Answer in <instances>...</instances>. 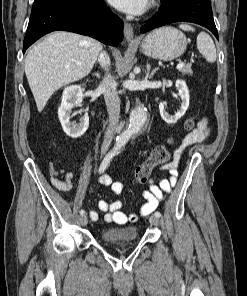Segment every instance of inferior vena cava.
<instances>
[{
	"label": "inferior vena cava",
	"mask_w": 247,
	"mask_h": 296,
	"mask_svg": "<svg viewBox=\"0 0 247 296\" xmlns=\"http://www.w3.org/2000/svg\"><path fill=\"white\" fill-rule=\"evenodd\" d=\"M98 61L105 70H109L110 58L105 51L100 53ZM100 87L103 90L104 99L109 114V125L105 132L102 145V150L106 151L112 142L114 130L119 122L120 99L116 89L117 84L110 74H107L104 77L100 83Z\"/></svg>",
	"instance_id": "602c4592"
}]
</instances>
